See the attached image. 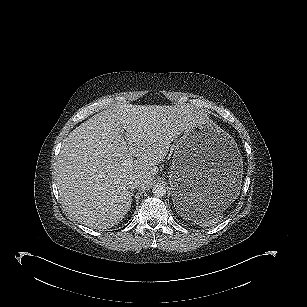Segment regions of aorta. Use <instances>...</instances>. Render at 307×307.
Returning a JSON list of instances; mask_svg holds the SVG:
<instances>
[{
    "mask_svg": "<svg viewBox=\"0 0 307 307\" xmlns=\"http://www.w3.org/2000/svg\"><path fill=\"white\" fill-rule=\"evenodd\" d=\"M152 193L155 197H164L166 195V187L164 185L157 184L153 187Z\"/></svg>",
    "mask_w": 307,
    "mask_h": 307,
    "instance_id": "obj_1",
    "label": "aorta"
}]
</instances>
